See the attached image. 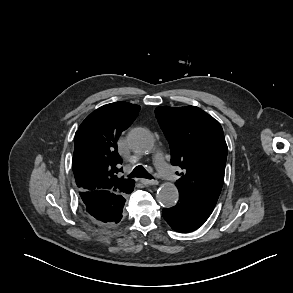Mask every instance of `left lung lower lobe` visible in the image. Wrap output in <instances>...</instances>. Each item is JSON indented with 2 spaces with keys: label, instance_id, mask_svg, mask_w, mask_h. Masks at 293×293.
<instances>
[{
  "label": "left lung lower lobe",
  "instance_id": "obj_1",
  "mask_svg": "<svg viewBox=\"0 0 293 293\" xmlns=\"http://www.w3.org/2000/svg\"><path fill=\"white\" fill-rule=\"evenodd\" d=\"M212 211L201 204L179 197L175 206L164 208L162 214L171 228L180 233H187L202 226Z\"/></svg>",
  "mask_w": 293,
  "mask_h": 293
}]
</instances>
